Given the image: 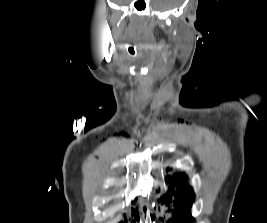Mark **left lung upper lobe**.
<instances>
[{
	"mask_svg": "<svg viewBox=\"0 0 267 223\" xmlns=\"http://www.w3.org/2000/svg\"><path fill=\"white\" fill-rule=\"evenodd\" d=\"M188 176L185 173L175 174L173 177L168 176L167 179L173 183L172 187L168 190V198H169V206H165L163 209V214H191V206L192 204H197V199H195V194L191 187L186 186V182H182L186 180ZM183 183V189L174 190V187H177V184ZM178 221L182 222V218L178 217Z\"/></svg>",
	"mask_w": 267,
	"mask_h": 223,
	"instance_id": "1",
	"label": "left lung upper lobe"
}]
</instances>
